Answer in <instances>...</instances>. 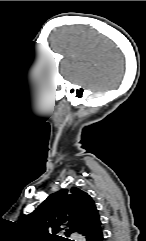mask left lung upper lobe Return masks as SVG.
Returning <instances> with one entry per match:
<instances>
[{
	"mask_svg": "<svg viewBox=\"0 0 146 241\" xmlns=\"http://www.w3.org/2000/svg\"><path fill=\"white\" fill-rule=\"evenodd\" d=\"M99 219L91 196L73 187L49 195L21 223L36 241H69L58 234L69 236L75 231L82 234Z\"/></svg>",
	"mask_w": 146,
	"mask_h": 241,
	"instance_id": "5c2ea615",
	"label": "left lung upper lobe"
}]
</instances>
